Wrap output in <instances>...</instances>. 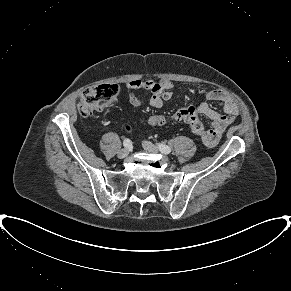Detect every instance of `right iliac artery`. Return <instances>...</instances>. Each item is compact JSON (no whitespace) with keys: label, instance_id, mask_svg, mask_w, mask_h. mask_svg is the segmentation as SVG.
Masks as SVG:
<instances>
[{"label":"right iliac artery","instance_id":"obj_1","mask_svg":"<svg viewBox=\"0 0 291 291\" xmlns=\"http://www.w3.org/2000/svg\"><path fill=\"white\" fill-rule=\"evenodd\" d=\"M123 145H124L125 148H130L132 146V142H131L130 139H125L123 141Z\"/></svg>","mask_w":291,"mask_h":291}]
</instances>
